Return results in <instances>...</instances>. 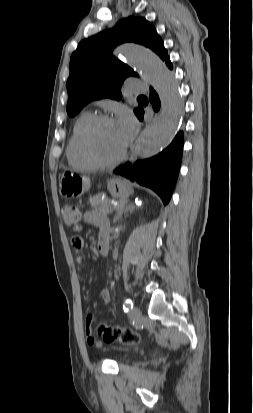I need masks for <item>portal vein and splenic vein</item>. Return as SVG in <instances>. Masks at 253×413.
Listing matches in <instances>:
<instances>
[{"instance_id": "portal-vein-and-splenic-vein-1", "label": "portal vein and splenic vein", "mask_w": 253, "mask_h": 413, "mask_svg": "<svg viewBox=\"0 0 253 413\" xmlns=\"http://www.w3.org/2000/svg\"><path fill=\"white\" fill-rule=\"evenodd\" d=\"M124 206V204H116L114 207H113V209H115V210H119V209H121L122 207Z\"/></svg>"}]
</instances>
